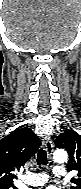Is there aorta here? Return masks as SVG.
I'll return each instance as SVG.
<instances>
[{
    "instance_id": "obj_1",
    "label": "aorta",
    "mask_w": 81,
    "mask_h": 189,
    "mask_svg": "<svg viewBox=\"0 0 81 189\" xmlns=\"http://www.w3.org/2000/svg\"><path fill=\"white\" fill-rule=\"evenodd\" d=\"M68 159L67 152L62 149H58L53 154V160L57 163H64Z\"/></svg>"
}]
</instances>
